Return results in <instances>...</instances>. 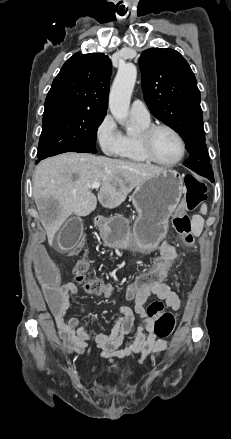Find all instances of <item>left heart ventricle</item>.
<instances>
[{
	"label": "left heart ventricle",
	"mask_w": 231,
	"mask_h": 439,
	"mask_svg": "<svg viewBox=\"0 0 231 439\" xmlns=\"http://www.w3.org/2000/svg\"><path fill=\"white\" fill-rule=\"evenodd\" d=\"M151 147L155 157L162 162H172L180 155V144L177 138L167 130H158L151 139Z\"/></svg>",
	"instance_id": "b2bd125f"
}]
</instances>
